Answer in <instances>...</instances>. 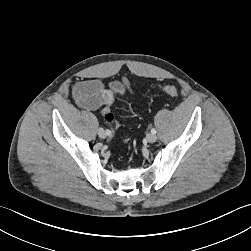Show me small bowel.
<instances>
[{
  "label": "small bowel",
  "instance_id": "1",
  "mask_svg": "<svg viewBox=\"0 0 251 251\" xmlns=\"http://www.w3.org/2000/svg\"><path fill=\"white\" fill-rule=\"evenodd\" d=\"M135 82L124 78L121 81H113L105 87L99 79L83 80L74 84L72 94L76 104L87 111H95L103 107L102 114L115 104L118 96L133 93ZM119 126V123H116Z\"/></svg>",
  "mask_w": 251,
  "mask_h": 251
}]
</instances>
